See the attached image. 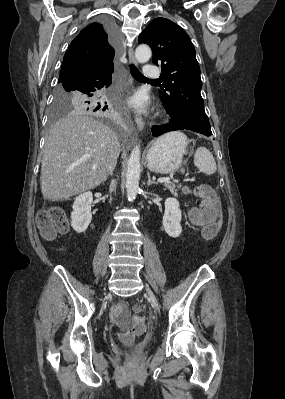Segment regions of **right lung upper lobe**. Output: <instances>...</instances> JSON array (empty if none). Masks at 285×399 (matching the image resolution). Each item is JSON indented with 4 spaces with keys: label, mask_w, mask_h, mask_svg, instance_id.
<instances>
[{
    "label": "right lung upper lobe",
    "mask_w": 285,
    "mask_h": 399,
    "mask_svg": "<svg viewBox=\"0 0 285 399\" xmlns=\"http://www.w3.org/2000/svg\"><path fill=\"white\" fill-rule=\"evenodd\" d=\"M114 52V46L103 24H89L74 38L66 51L59 84L63 79L84 68H113Z\"/></svg>",
    "instance_id": "cb5924a9"
}]
</instances>
